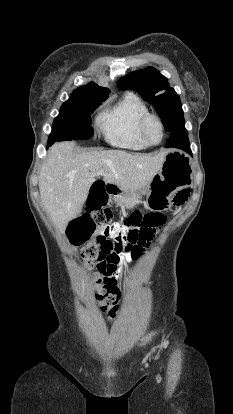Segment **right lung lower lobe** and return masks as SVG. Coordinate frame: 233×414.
<instances>
[{
	"label": "right lung lower lobe",
	"instance_id": "obj_1",
	"mask_svg": "<svg viewBox=\"0 0 233 414\" xmlns=\"http://www.w3.org/2000/svg\"><path fill=\"white\" fill-rule=\"evenodd\" d=\"M54 142H55L54 139L50 135L49 140H48V146H51Z\"/></svg>",
	"mask_w": 233,
	"mask_h": 414
}]
</instances>
